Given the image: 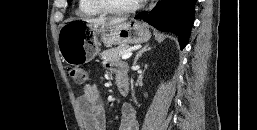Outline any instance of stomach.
<instances>
[{
  "label": "stomach",
  "instance_id": "stomach-1",
  "mask_svg": "<svg viewBox=\"0 0 257 130\" xmlns=\"http://www.w3.org/2000/svg\"><path fill=\"white\" fill-rule=\"evenodd\" d=\"M150 31L136 20L115 25L90 26L81 20L65 21L59 30L58 49L64 62L79 65L90 62L105 45H127L147 42Z\"/></svg>",
  "mask_w": 257,
  "mask_h": 130
}]
</instances>
